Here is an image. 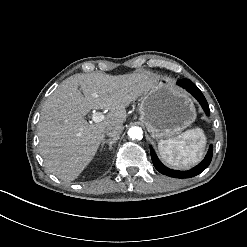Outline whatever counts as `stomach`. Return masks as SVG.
Here are the masks:
<instances>
[{"instance_id":"0dacf381","label":"stomach","mask_w":247,"mask_h":247,"mask_svg":"<svg viewBox=\"0 0 247 247\" xmlns=\"http://www.w3.org/2000/svg\"><path fill=\"white\" fill-rule=\"evenodd\" d=\"M141 120L154 139H176L197 118L194 100L175 80L163 77L150 85L140 105Z\"/></svg>"}]
</instances>
